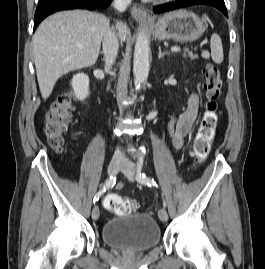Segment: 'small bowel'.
Listing matches in <instances>:
<instances>
[{"mask_svg":"<svg viewBox=\"0 0 265 269\" xmlns=\"http://www.w3.org/2000/svg\"><path fill=\"white\" fill-rule=\"evenodd\" d=\"M198 107L199 98L193 94L188 99L185 111L171 118L168 131L174 148L180 149L184 145V138L191 131L196 120ZM116 188H121V185H117Z\"/></svg>","mask_w":265,"mask_h":269,"instance_id":"c3829d8e","label":"small bowel"}]
</instances>
